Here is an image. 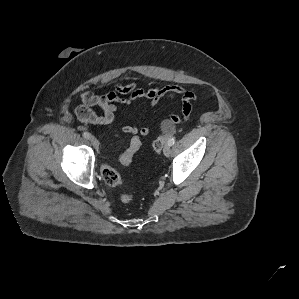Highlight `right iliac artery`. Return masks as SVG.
Listing matches in <instances>:
<instances>
[{"label": "right iliac artery", "instance_id": "obj_1", "mask_svg": "<svg viewBox=\"0 0 299 299\" xmlns=\"http://www.w3.org/2000/svg\"><path fill=\"white\" fill-rule=\"evenodd\" d=\"M82 135L86 139H89L91 137L90 133H88V132H84Z\"/></svg>", "mask_w": 299, "mask_h": 299}]
</instances>
